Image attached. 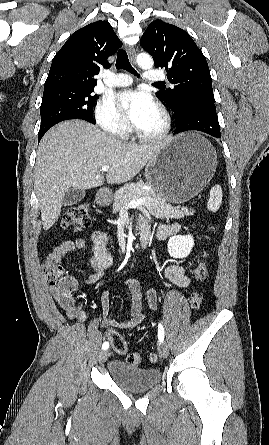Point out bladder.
Masks as SVG:
<instances>
[{"label": "bladder", "instance_id": "31cf9c89", "mask_svg": "<svg viewBox=\"0 0 269 445\" xmlns=\"http://www.w3.org/2000/svg\"><path fill=\"white\" fill-rule=\"evenodd\" d=\"M109 374L112 380L128 391H144L157 385L161 372L157 368H138L114 360L109 363Z\"/></svg>", "mask_w": 269, "mask_h": 445}]
</instances>
